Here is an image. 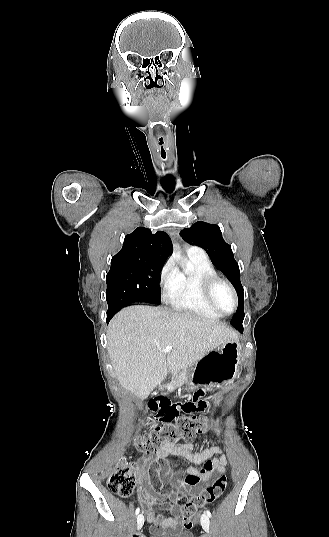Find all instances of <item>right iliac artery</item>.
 <instances>
[{
	"instance_id": "1",
	"label": "right iliac artery",
	"mask_w": 329,
	"mask_h": 537,
	"mask_svg": "<svg viewBox=\"0 0 329 537\" xmlns=\"http://www.w3.org/2000/svg\"><path fill=\"white\" fill-rule=\"evenodd\" d=\"M139 512H140V508L138 507V508L136 509V511H135V514L138 515Z\"/></svg>"
}]
</instances>
